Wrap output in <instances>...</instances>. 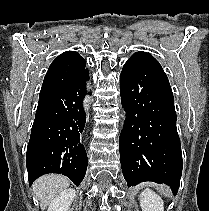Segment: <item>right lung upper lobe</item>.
Returning a JSON list of instances; mask_svg holds the SVG:
<instances>
[{
  "label": "right lung upper lobe",
  "mask_w": 209,
  "mask_h": 211,
  "mask_svg": "<svg viewBox=\"0 0 209 211\" xmlns=\"http://www.w3.org/2000/svg\"><path fill=\"white\" fill-rule=\"evenodd\" d=\"M85 66V60L75 51L59 55L45 75L39 100L78 80L87 71Z\"/></svg>",
  "instance_id": "obj_1"
}]
</instances>
